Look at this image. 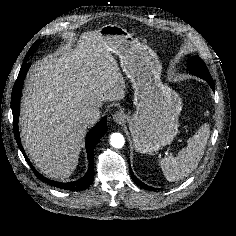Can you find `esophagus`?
Returning a JSON list of instances; mask_svg holds the SVG:
<instances>
[{
    "label": "esophagus",
    "mask_w": 236,
    "mask_h": 236,
    "mask_svg": "<svg viewBox=\"0 0 236 236\" xmlns=\"http://www.w3.org/2000/svg\"><path fill=\"white\" fill-rule=\"evenodd\" d=\"M113 121L117 124H123L125 122V115L121 111H117L113 114Z\"/></svg>",
    "instance_id": "esophagus-1"
}]
</instances>
